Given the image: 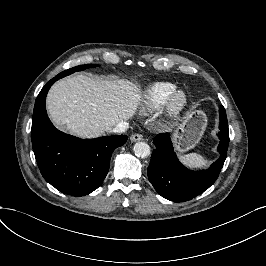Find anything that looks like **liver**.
Wrapping results in <instances>:
<instances>
[{
    "mask_svg": "<svg viewBox=\"0 0 266 266\" xmlns=\"http://www.w3.org/2000/svg\"><path fill=\"white\" fill-rule=\"evenodd\" d=\"M138 100V91L131 83L95 81L78 75L53 85L47 96V110L59 128L94 137L129 118Z\"/></svg>",
    "mask_w": 266,
    "mask_h": 266,
    "instance_id": "1",
    "label": "liver"
}]
</instances>
